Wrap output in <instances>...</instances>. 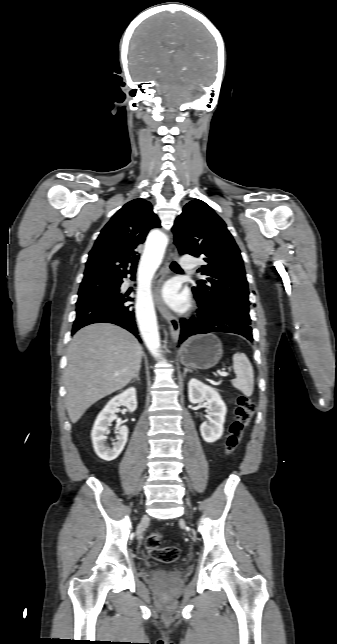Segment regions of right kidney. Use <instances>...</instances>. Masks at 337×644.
Segmentation results:
<instances>
[{
  "mask_svg": "<svg viewBox=\"0 0 337 644\" xmlns=\"http://www.w3.org/2000/svg\"><path fill=\"white\" fill-rule=\"evenodd\" d=\"M120 405L126 406L130 411L136 410L137 399L136 389L134 387L128 388L111 399L99 413L94 423L91 432L93 448L97 456L105 461L116 459L127 443L128 428L126 426H121L116 431V441L112 443L113 447L110 448L105 445L107 439L105 434L108 431L109 426H111L112 421L115 419V412L118 410Z\"/></svg>",
  "mask_w": 337,
  "mask_h": 644,
  "instance_id": "ca27d5eb",
  "label": "right kidney"
}]
</instances>
